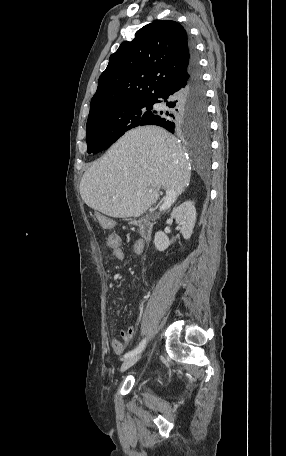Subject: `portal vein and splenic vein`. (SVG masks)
Returning <instances> with one entry per match:
<instances>
[{"mask_svg": "<svg viewBox=\"0 0 286 456\" xmlns=\"http://www.w3.org/2000/svg\"><path fill=\"white\" fill-rule=\"evenodd\" d=\"M154 186H152L153 188ZM160 187V186H158ZM174 199H175V193L174 191L172 190H166V197H165V201L164 203L160 206V210H165L167 209L168 207H170V205L174 202Z\"/></svg>", "mask_w": 286, "mask_h": 456, "instance_id": "18ae733b", "label": "portal vein and splenic vein"}]
</instances>
